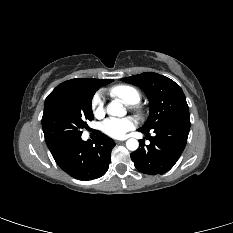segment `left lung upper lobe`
<instances>
[{"label": "left lung upper lobe", "instance_id": "left-lung-upper-lobe-1", "mask_svg": "<svg viewBox=\"0 0 233 233\" xmlns=\"http://www.w3.org/2000/svg\"><path fill=\"white\" fill-rule=\"evenodd\" d=\"M121 80L140 87L149 99L150 115L141 130L150 131L165 122L189 117L185 95L170 78L147 72Z\"/></svg>", "mask_w": 233, "mask_h": 233}]
</instances>
